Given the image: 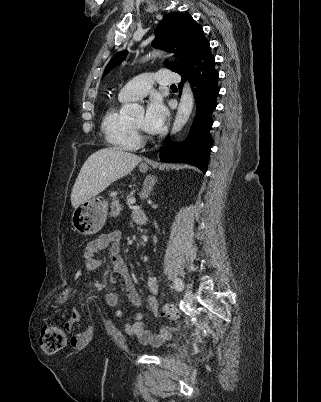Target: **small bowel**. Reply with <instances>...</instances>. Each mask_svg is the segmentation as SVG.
<instances>
[{"instance_id":"c3829d8e","label":"small bowel","mask_w":321,"mask_h":402,"mask_svg":"<svg viewBox=\"0 0 321 402\" xmlns=\"http://www.w3.org/2000/svg\"><path fill=\"white\" fill-rule=\"evenodd\" d=\"M122 238V233L118 230L109 233L102 234L95 239L90 240L84 250L85 258V270L87 272H93L100 268L102 261L98 257L99 252H101L106 247L110 246L111 253V263L112 269L115 273L119 274L124 279L125 291L130 303L134 307H140L141 298L133 283L130 273L127 269L126 263L120 254V242ZM147 289L151 296L147 299V306L149 311L154 316L160 314L159 302L156 297L159 285L157 278L154 275H149L146 281ZM106 304L110 307L115 308V315L117 317H122L124 315L123 309L119 308V296L115 292H108L105 295ZM143 314L137 311L132 319L125 324V331L128 336L138 339L144 344L156 345L160 343L163 339L168 338L169 331L165 327H161L160 333L154 335L144 324ZM81 321V315L77 311H73L69 319L65 322L66 329L71 332L75 325ZM91 334V329L89 327H84L81 331L76 332L72 335L71 343L75 349L82 348L88 341Z\"/></svg>"}]
</instances>
